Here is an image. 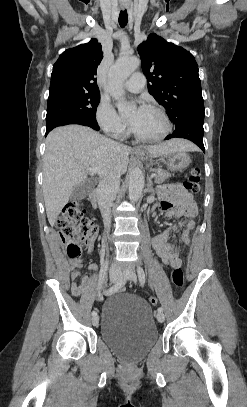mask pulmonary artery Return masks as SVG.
<instances>
[{
    "label": "pulmonary artery",
    "instance_id": "obj_1",
    "mask_svg": "<svg viewBox=\"0 0 247 407\" xmlns=\"http://www.w3.org/2000/svg\"><path fill=\"white\" fill-rule=\"evenodd\" d=\"M145 85V77L141 72H136L124 83V87L133 93L140 92Z\"/></svg>",
    "mask_w": 247,
    "mask_h": 407
}]
</instances>
